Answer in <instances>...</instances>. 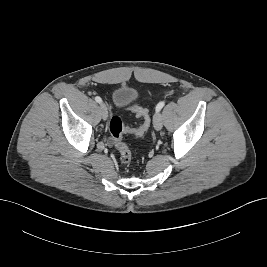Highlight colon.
Segmentation results:
<instances>
[{
  "instance_id": "obj_1",
  "label": "colon",
  "mask_w": 267,
  "mask_h": 267,
  "mask_svg": "<svg viewBox=\"0 0 267 267\" xmlns=\"http://www.w3.org/2000/svg\"><path fill=\"white\" fill-rule=\"evenodd\" d=\"M130 109L141 120V124L136 129H130L123 125L122 120L118 116H113L109 121V131L114 145L119 153L120 160L124 164L132 161V152L128 145L123 141L124 134L128 133L136 137H142L150 126L149 112L138 105H131Z\"/></svg>"
}]
</instances>
